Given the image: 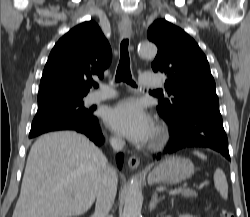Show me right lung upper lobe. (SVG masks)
Returning <instances> with one entry per match:
<instances>
[{"mask_svg":"<svg viewBox=\"0 0 250 217\" xmlns=\"http://www.w3.org/2000/svg\"><path fill=\"white\" fill-rule=\"evenodd\" d=\"M110 45L93 22H84L66 33L52 49L38 93V108L82 99L92 84V75L103 77L111 62Z\"/></svg>","mask_w":250,"mask_h":217,"instance_id":"obj_1","label":"right lung upper lobe"}]
</instances>
